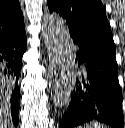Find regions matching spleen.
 Segmentation results:
<instances>
[{"label": "spleen", "instance_id": "obj_1", "mask_svg": "<svg viewBox=\"0 0 125 128\" xmlns=\"http://www.w3.org/2000/svg\"><path fill=\"white\" fill-rule=\"evenodd\" d=\"M80 128H108V126L104 125V124H100L98 122H92V123L86 124Z\"/></svg>", "mask_w": 125, "mask_h": 128}]
</instances>
